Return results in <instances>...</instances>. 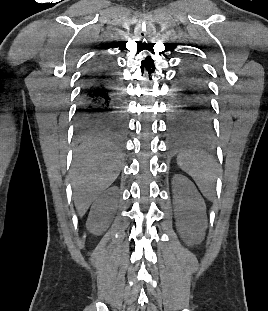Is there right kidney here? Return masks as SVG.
<instances>
[{
	"mask_svg": "<svg viewBox=\"0 0 268 311\" xmlns=\"http://www.w3.org/2000/svg\"><path fill=\"white\" fill-rule=\"evenodd\" d=\"M118 196V187L113 186L93 203L86 223L91 233L99 235L108 228L118 207Z\"/></svg>",
	"mask_w": 268,
	"mask_h": 311,
	"instance_id": "ca27d5eb",
	"label": "right kidney"
}]
</instances>
